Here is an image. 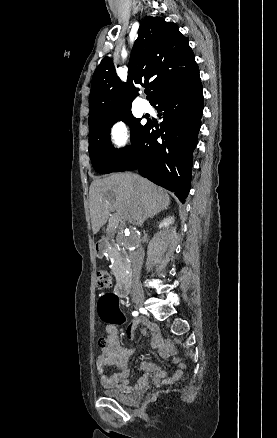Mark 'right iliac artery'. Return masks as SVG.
<instances>
[{"instance_id":"82829eb1","label":"right iliac artery","mask_w":277,"mask_h":438,"mask_svg":"<svg viewBox=\"0 0 277 438\" xmlns=\"http://www.w3.org/2000/svg\"><path fill=\"white\" fill-rule=\"evenodd\" d=\"M132 315H133V316H137V315H138V312H137V311H134V312H132Z\"/></svg>"}]
</instances>
